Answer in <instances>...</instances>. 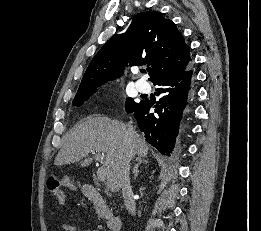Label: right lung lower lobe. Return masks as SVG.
<instances>
[{"instance_id":"1","label":"right lung lower lobe","mask_w":261,"mask_h":231,"mask_svg":"<svg viewBox=\"0 0 261 231\" xmlns=\"http://www.w3.org/2000/svg\"><path fill=\"white\" fill-rule=\"evenodd\" d=\"M194 72L191 65L184 71L163 77L154 85L161 94V99L154 106L155 113H150L153 106L143 100L128 113H133L146 141L160 153L170 156L175 146L179 126L187 107L188 95L193 89Z\"/></svg>"}]
</instances>
